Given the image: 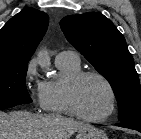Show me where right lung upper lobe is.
I'll return each instance as SVG.
<instances>
[{
	"label": "right lung upper lobe",
	"instance_id": "right-lung-upper-lobe-1",
	"mask_svg": "<svg viewBox=\"0 0 141 139\" xmlns=\"http://www.w3.org/2000/svg\"><path fill=\"white\" fill-rule=\"evenodd\" d=\"M49 23L42 11L25 8L0 29V64L28 63Z\"/></svg>",
	"mask_w": 141,
	"mask_h": 139
}]
</instances>
